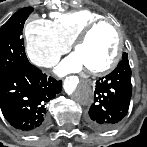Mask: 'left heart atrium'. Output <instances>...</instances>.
<instances>
[{"instance_id":"obj_1","label":"left heart atrium","mask_w":147,"mask_h":147,"mask_svg":"<svg viewBox=\"0 0 147 147\" xmlns=\"http://www.w3.org/2000/svg\"><path fill=\"white\" fill-rule=\"evenodd\" d=\"M84 68L82 62L76 54H72L65 58L57 66L56 72L59 76H65L69 73L80 72Z\"/></svg>"}]
</instances>
